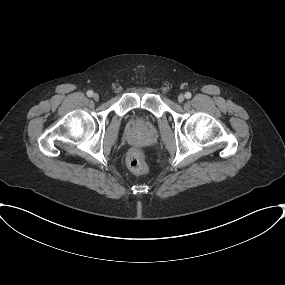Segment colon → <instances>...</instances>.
Returning a JSON list of instances; mask_svg holds the SVG:
<instances>
[{
  "instance_id": "colon-1",
  "label": "colon",
  "mask_w": 285,
  "mask_h": 285,
  "mask_svg": "<svg viewBox=\"0 0 285 285\" xmlns=\"http://www.w3.org/2000/svg\"><path fill=\"white\" fill-rule=\"evenodd\" d=\"M127 165L132 172L139 175L145 174L148 170L147 164L142 154L137 150H133L129 153L127 158Z\"/></svg>"
}]
</instances>
